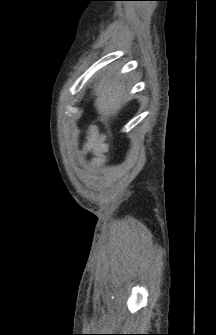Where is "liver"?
<instances>
[{
  "label": "liver",
  "instance_id": "liver-1",
  "mask_svg": "<svg viewBox=\"0 0 216 335\" xmlns=\"http://www.w3.org/2000/svg\"><path fill=\"white\" fill-rule=\"evenodd\" d=\"M95 106L101 118L108 121L122 109L127 99L124 83L118 79L103 78L96 85Z\"/></svg>",
  "mask_w": 216,
  "mask_h": 335
}]
</instances>
